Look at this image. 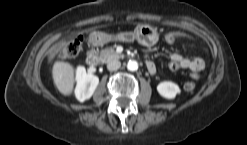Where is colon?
<instances>
[{"label":"colon","mask_w":247,"mask_h":145,"mask_svg":"<svg viewBox=\"0 0 247 145\" xmlns=\"http://www.w3.org/2000/svg\"><path fill=\"white\" fill-rule=\"evenodd\" d=\"M180 37L181 35L178 33H169L166 35L165 40L167 43H173L177 41ZM82 41L83 38L80 35L67 40L59 50V58L61 60H66L76 57L81 50ZM195 87L196 84L193 81H187L183 85L184 90L187 92L193 91Z\"/></svg>","instance_id":"colon-1"}]
</instances>
